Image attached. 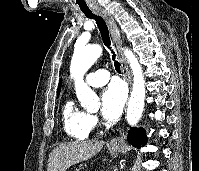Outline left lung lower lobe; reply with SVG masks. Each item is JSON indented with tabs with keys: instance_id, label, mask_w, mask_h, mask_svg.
Wrapping results in <instances>:
<instances>
[{
	"instance_id": "0a47b994",
	"label": "left lung lower lobe",
	"mask_w": 199,
	"mask_h": 171,
	"mask_svg": "<svg viewBox=\"0 0 199 171\" xmlns=\"http://www.w3.org/2000/svg\"><path fill=\"white\" fill-rule=\"evenodd\" d=\"M127 140L135 147L145 146L147 144L145 130L143 128H131Z\"/></svg>"
}]
</instances>
